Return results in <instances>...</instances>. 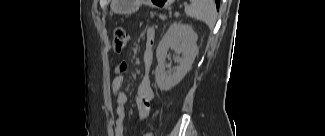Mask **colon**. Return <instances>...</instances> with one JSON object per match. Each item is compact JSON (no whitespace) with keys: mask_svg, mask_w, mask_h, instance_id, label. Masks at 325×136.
<instances>
[{"mask_svg":"<svg viewBox=\"0 0 325 136\" xmlns=\"http://www.w3.org/2000/svg\"><path fill=\"white\" fill-rule=\"evenodd\" d=\"M126 36L127 32L123 29H116L114 32L113 38V47L117 52H121L126 46ZM145 136H153L151 133L146 134Z\"/></svg>","mask_w":325,"mask_h":136,"instance_id":"obj_1","label":"colon"}]
</instances>
